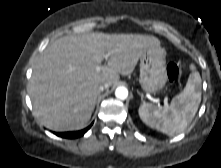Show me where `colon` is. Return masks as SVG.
Wrapping results in <instances>:
<instances>
[{"mask_svg": "<svg viewBox=\"0 0 221 168\" xmlns=\"http://www.w3.org/2000/svg\"><path fill=\"white\" fill-rule=\"evenodd\" d=\"M166 76L170 82H175L180 76V68L175 63H169L166 67Z\"/></svg>", "mask_w": 221, "mask_h": 168, "instance_id": "1", "label": "colon"}]
</instances>
